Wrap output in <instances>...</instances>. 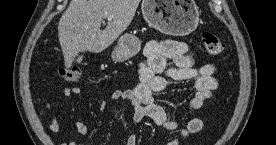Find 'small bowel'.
I'll return each mask as SVG.
<instances>
[{"label":"small bowel","instance_id":"c3829d8e","mask_svg":"<svg viewBox=\"0 0 276 145\" xmlns=\"http://www.w3.org/2000/svg\"><path fill=\"white\" fill-rule=\"evenodd\" d=\"M144 55L145 59L138 70L139 83L133 89L112 91L110 100L129 101L134 109L132 116L134 124H138L144 118H149L157 126L166 130H178L177 135L168 145H180V141L186 140L191 134L199 133L203 129V121L199 117H190L186 126L179 129L178 121L168 117L164 108L155 100L154 93L164 91L169 79L175 81L195 79V91L188 109L190 113L201 110L218 87L215 78L216 67L212 64L196 67L190 48L181 41H150L146 44ZM80 92L79 87H62L58 95L68 97L78 95ZM53 105L54 99L49 98L46 102L47 109L52 111ZM107 107V101L100 102V110H105ZM40 114H43L42 110ZM75 129L83 136L89 132L88 126L82 121L75 122ZM48 130L51 133H57L60 130V122L56 116L52 117ZM69 145L77 144L72 142ZM125 145H137L136 135H129Z\"/></svg>","mask_w":276,"mask_h":145}]
</instances>
